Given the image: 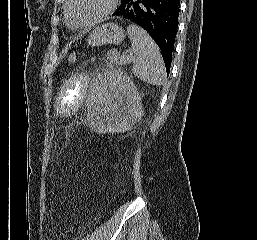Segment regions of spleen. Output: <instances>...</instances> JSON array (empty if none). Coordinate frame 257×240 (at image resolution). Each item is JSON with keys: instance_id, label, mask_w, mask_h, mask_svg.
I'll list each match as a JSON object with an SVG mask.
<instances>
[{"instance_id": "1", "label": "spleen", "mask_w": 257, "mask_h": 240, "mask_svg": "<svg viewBox=\"0 0 257 240\" xmlns=\"http://www.w3.org/2000/svg\"><path fill=\"white\" fill-rule=\"evenodd\" d=\"M127 32L135 57L133 74L151 85H163L166 81L165 66L156 43L146 31L136 25H129Z\"/></svg>"}]
</instances>
